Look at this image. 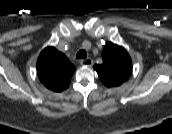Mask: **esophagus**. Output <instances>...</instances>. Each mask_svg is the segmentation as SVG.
Listing matches in <instances>:
<instances>
[{
	"mask_svg": "<svg viewBox=\"0 0 172 134\" xmlns=\"http://www.w3.org/2000/svg\"><path fill=\"white\" fill-rule=\"evenodd\" d=\"M80 64L83 65V66H89V67H91L93 65V60L91 58L82 59L80 61Z\"/></svg>",
	"mask_w": 172,
	"mask_h": 134,
	"instance_id": "34e87169",
	"label": "esophagus"
}]
</instances>
